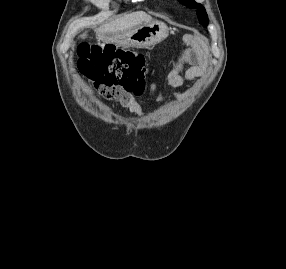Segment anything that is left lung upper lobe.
Segmentation results:
<instances>
[{"label": "left lung upper lobe", "instance_id": "obj_1", "mask_svg": "<svg viewBox=\"0 0 286 269\" xmlns=\"http://www.w3.org/2000/svg\"><path fill=\"white\" fill-rule=\"evenodd\" d=\"M181 2L190 8L198 9V11H197L198 18H199L200 22L202 23V25L204 27H207L208 16H207V13H206L204 7L201 4L196 3L194 0H181Z\"/></svg>", "mask_w": 286, "mask_h": 269}]
</instances>
